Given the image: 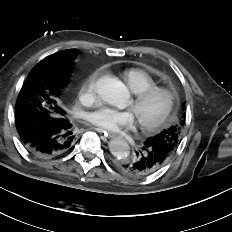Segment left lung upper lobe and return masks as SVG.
<instances>
[{
	"instance_id": "1",
	"label": "left lung upper lobe",
	"mask_w": 232,
	"mask_h": 232,
	"mask_svg": "<svg viewBox=\"0 0 232 232\" xmlns=\"http://www.w3.org/2000/svg\"><path fill=\"white\" fill-rule=\"evenodd\" d=\"M183 114V118H184ZM182 122L179 125L172 126L168 129L163 130L160 134L150 137L147 140H150L156 144H159L165 147L171 155L177 149L180 140V126H182Z\"/></svg>"
}]
</instances>
